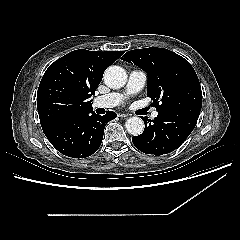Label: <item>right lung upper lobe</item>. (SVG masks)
<instances>
[{
	"mask_svg": "<svg viewBox=\"0 0 240 240\" xmlns=\"http://www.w3.org/2000/svg\"><path fill=\"white\" fill-rule=\"evenodd\" d=\"M124 51L74 50L52 63L40 82L37 109L43 131L79 113L91 111L90 97L105 69Z\"/></svg>",
	"mask_w": 240,
	"mask_h": 240,
	"instance_id": "obj_1",
	"label": "right lung upper lobe"
}]
</instances>
